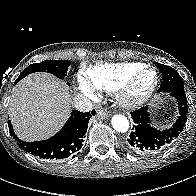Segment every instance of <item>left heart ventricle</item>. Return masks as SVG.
Listing matches in <instances>:
<instances>
[{
    "mask_svg": "<svg viewBox=\"0 0 196 196\" xmlns=\"http://www.w3.org/2000/svg\"><path fill=\"white\" fill-rule=\"evenodd\" d=\"M155 74L154 72L148 70L146 71L138 80L133 88V93L135 95H140L144 93L154 82Z\"/></svg>",
    "mask_w": 196,
    "mask_h": 196,
    "instance_id": "left-heart-ventricle-1",
    "label": "left heart ventricle"
}]
</instances>
